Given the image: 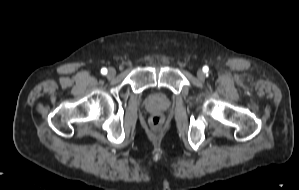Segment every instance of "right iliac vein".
<instances>
[{"label": "right iliac vein", "mask_w": 299, "mask_h": 190, "mask_svg": "<svg viewBox=\"0 0 299 190\" xmlns=\"http://www.w3.org/2000/svg\"><path fill=\"white\" fill-rule=\"evenodd\" d=\"M115 75H116L115 69L114 68H109V70H108V76L112 78Z\"/></svg>", "instance_id": "63e3f726"}]
</instances>
